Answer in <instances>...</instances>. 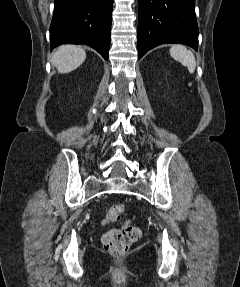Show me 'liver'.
I'll use <instances>...</instances> for the list:
<instances>
[{"label":"liver","instance_id":"6515ba94","mask_svg":"<svg viewBox=\"0 0 240 287\" xmlns=\"http://www.w3.org/2000/svg\"><path fill=\"white\" fill-rule=\"evenodd\" d=\"M86 59V52L76 45H62L52 56V64L59 73H69L78 68Z\"/></svg>","mask_w":240,"mask_h":287}]
</instances>
